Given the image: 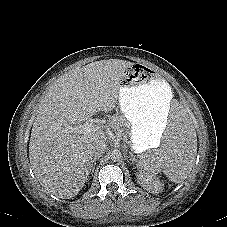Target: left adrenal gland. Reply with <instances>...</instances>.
<instances>
[{
  "label": "left adrenal gland",
  "instance_id": "left-adrenal-gland-1",
  "mask_svg": "<svg viewBox=\"0 0 227 227\" xmlns=\"http://www.w3.org/2000/svg\"><path fill=\"white\" fill-rule=\"evenodd\" d=\"M130 155H131L130 161L132 162V164L134 162H137V159L135 158V156L132 153H130Z\"/></svg>",
  "mask_w": 227,
  "mask_h": 227
}]
</instances>
